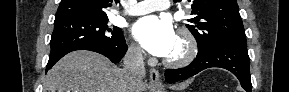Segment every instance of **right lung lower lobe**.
Instances as JSON below:
<instances>
[{
    "instance_id": "1",
    "label": "right lung lower lobe",
    "mask_w": 289,
    "mask_h": 92,
    "mask_svg": "<svg viewBox=\"0 0 289 92\" xmlns=\"http://www.w3.org/2000/svg\"><path fill=\"white\" fill-rule=\"evenodd\" d=\"M76 50H89L100 53L108 57L113 63L119 62L127 51V45L124 37L117 43L112 45L105 44H83L77 47L69 48L60 51L59 53L49 56V61L46 66V72L64 55Z\"/></svg>"
}]
</instances>
